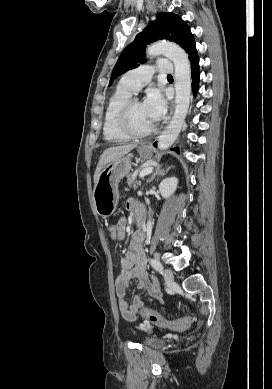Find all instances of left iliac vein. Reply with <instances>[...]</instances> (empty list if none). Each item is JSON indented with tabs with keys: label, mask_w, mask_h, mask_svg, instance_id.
Returning a JSON list of instances; mask_svg holds the SVG:
<instances>
[{
	"label": "left iliac vein",
	"mask_w": 272,
	"mask_h": 389,
	"mask_svg": "<svg viewBox=\"0 0 272 389\" xmlns=\"http://www.w3.org/2000/svg\"><path fill=\"white\" fill-rule=\"evenodd\" d=\"M163 276H164L166 283H172L174 280L173 273L170 269H164Z\"/></svg>",
	"instance_id": "obj_1"
}]
</instances>
